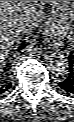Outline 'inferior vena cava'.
<instances>
[{"mask_svg": "<svg viewBox=\"0 0 74 122\" xmlns=\"http://www.w3.org/2000/svg\"><path fill=\"white\" fill-rule=\"evenodd\" d=\"M24 29H25V26H24L23 24H20V25H19V30H20V31H23Z\"/></svg>", "mask_w": 74, "mask_h": 122, "instance_id": "602c4592", "label": "inferior vena cava"}]
</instances>
